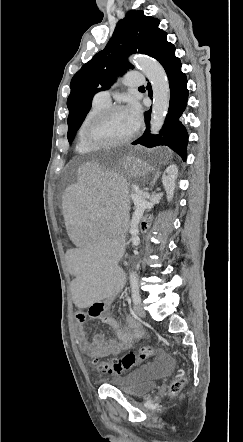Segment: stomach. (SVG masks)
<instances>
[{
	"label": "stomach",
	"mask_w": 243,
	"mask_h": 442,
	"mask_svg": "<svg viewBox=\"0 0 243 442\" xmlns=\"http://www.w3.org/2000/svg\"><path fill=\"white\" fill-rule=\"evenodd\" d=\"M118 163H126L127 165H131V167L132 165H145L140 159L134 156L123 157Z\"/></svg>",
	"instance_id": "obj_1"
}]
</instances>
